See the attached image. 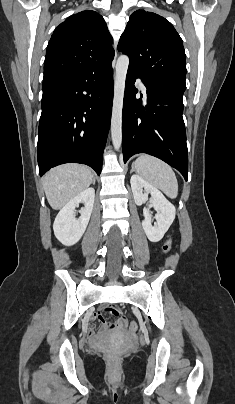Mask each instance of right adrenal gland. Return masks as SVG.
<instances>
[{"label":"right adrenal gland","instance_id":"obj_1","mask_svg":"<svg viewBox=\"0 0 235 404\" xmlns=\"http://www.w3.org/2000/svg\"><path fill=\"white\" fill-rule=\"evenodd\" d=\"M95 182H96V179H95V178H93V181H92L93 185H95Z\"/></svg>","mask_w":235,"mask_h":404}]
</instances>
